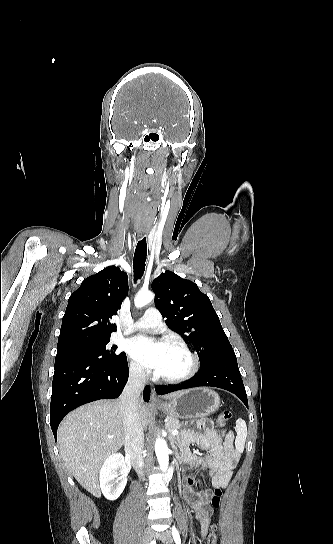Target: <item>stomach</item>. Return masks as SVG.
<instances>
[{
    "label": "stomach",
    "mask_w": 333,
    "mask_h": 544,
    "mask_svg": "<svg viewBox=\"0 0 333 544\" xmlns=\"http://www.w3.org/2000/svg\"><path fill=\"white\" fill-rule=\"evenodd\" d=\"M220 406L219 395L210 388H194L180 392L161 409L175 418H205Z\"/></svg>",
    "instance_id": "1"
}]
</instances>
